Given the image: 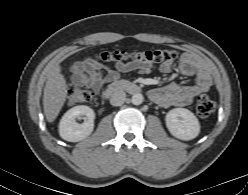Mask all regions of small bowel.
Returning a JSON list of instances; mask_svg holds the SVG:
<instances>
[{"label": "small bowel", "instance_id": "1", "mask_svg": "<svg viewBox=\"0 0 248 195\" xmlns=\"http://www.w3.org/2000/svg\"><path fill=\"white\" fill-rule=\"evenodd\" d=\"M179 70L185 77H196V83L190 86L168 84L153 89L150 92L152 100L164 108L183 107L191 104L193 100L206 93L212 86V78L208 67L193 54L184 52L179 55ZM174 59H168L160 64L159 69L163 73L172 70ZM152 62L133 59L128 62H117L109 67L104 75L102 66L91 58L76 63L72 68V79L79 86H87L96 92H100L108 82L118 79L120 76L131 73H150L154 70Z\"/></svg>", "mask_w": 248, "mask_h": 195}]
</instances>
